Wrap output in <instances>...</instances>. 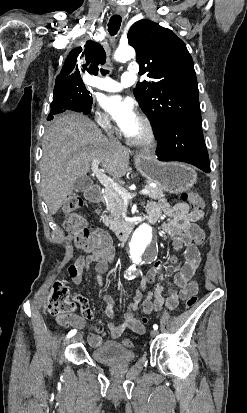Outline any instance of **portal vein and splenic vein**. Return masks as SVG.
<instances>
[{"label":"portal vein and splenic vein","instance_id":"18ae733b","mask_svg":"<svg viewBox=\"0 0 247 413\" xmlns=\"http://www.w3.org/2000/svg\"><path fill=\"white\" fill-rule=\"evenodd\" d=\"M100 160H97V158H93L91 162V168L92 172L96 174L99 182L105 186L106 190H115V192H118V194H121L122 198H134L136 194H133V192H128L126 188H123L121 184H118V182H114L113 178H110V176H107V174H104L102 170L99 168ZM141 194H150V190L148 188H142L140 190Z\"/></svg>","mask_w":247,"mask_h":413}]
</instances>
